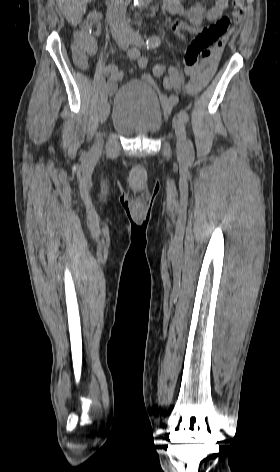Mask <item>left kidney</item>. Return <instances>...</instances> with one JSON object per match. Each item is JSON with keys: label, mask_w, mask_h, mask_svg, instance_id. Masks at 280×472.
Wrapping results in <instances>:
<instances>
[{"label": "left kidney", "mask_w": 280, "mask_h": 472, "mask_svg": "<svg viewBox=\"0 0 280 472\" xmlns=\"http://www.w3.org/2000/svg\"><path fill=\"white\" fill-rule=\"evenodd\" d=\"M190 22L194 25H200L202 23L203 14L205 13V8L197 3L195 6L190 8Z\"/></svg>", "instance_id": "left-kidney-1"}]
</instances>
